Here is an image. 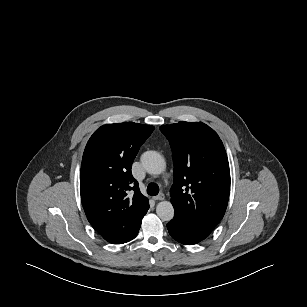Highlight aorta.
<instances>
[{
  "mask_svg": "<svg viewBox=\"0 0 307 307\" xmlns=\"http://www.w3.org/2000/svg\"><path fill=\"white\" fill-rule=\"evenodd\" d=\"M141 164L147 173L158 175L164 172L166 163L156 151H146L141 155ZM156 213L163 221H170L174 217V208L170 201H161L157 204Z\"/></svg>",
  "mask_w": 307,
  "mask_h": 307,
  "instance_id": "aorta-1",
  "label": "aorta"
}]
</instances>
